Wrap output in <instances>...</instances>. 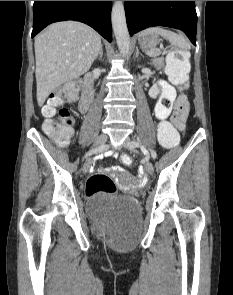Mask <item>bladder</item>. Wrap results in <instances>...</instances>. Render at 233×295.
Masks as SVG:
<instances>
[{
  "instance_id": "31cf9c89",
  "label": "bladder",
  "mask_w": 233,
  "mask_h": 295,
  "mask_svg": "<svg viewBox=\"0 0 233 295\" xmlns=\"http://www.w3.org/2000/svg\"><path fill=\"white\" fill-rule=\"evenodd\" d=\"M94 207L103 214H136L139 211V205L133 197H121L111 203Z\"/></svg>"
}]
</instances>
